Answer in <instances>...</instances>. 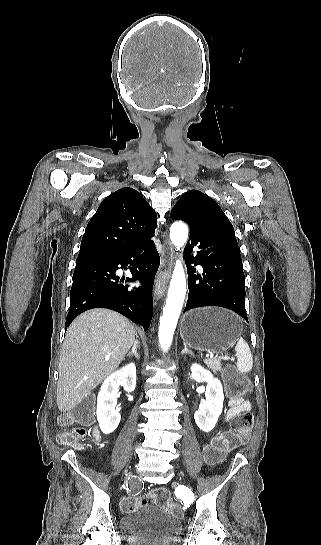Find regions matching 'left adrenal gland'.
Wrapping results in <instances>:
<instances>
[{"mask_svg":"<svg viewBox=\"0 0 321 545\" xmlns=\"http://www.w3.org/2000/svg\"><path fill=\"white\" fill-rule=\"evenodd\" d=\"M186 353H188V355H193L194 357V353H192V351H188L187 345H184V349L183 351H181V355H186Z\"/></svg>","mask_w":321,"mask_h":545,"instance_id":"left-adrenal-gland-1","label":"left adrenal gland"}]
</instances>
